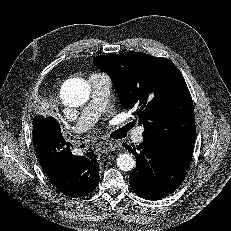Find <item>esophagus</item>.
<instances>
[{
	"instance_id": "34e87169",
	"label": "esophagus",
	"mask_w": 231,
	"mask_h": 231,
	"mask_svg": "<svg viewBox=\"0 0 231 231\" xmlns=\"http://www.w3.org/2000/svg\"><path fill=\"white\" fill-rule=\"evenodd\" d=\"M100 147L103 152H110L115 150L117 146L115 145L114 142L107 140V141H102L100 143Z\"/></svg>"
}]
</instances>
